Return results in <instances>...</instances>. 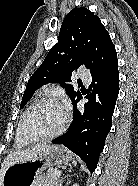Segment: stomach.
I'll use <instances>...</instances> for the list:
<instances>
[{"mask_svg": "<svg viewBox=\"0 0 138 186\" xmlns=\"http://www.w3.org/2000/svg\"><path fill=\"white\" fill-rule=\"evenodd\" d=\"M71 153L63 146L48 145L33 159L10 165L2 179L1 186H34L38 174L55 165L66 164Z\"/></svg>", "mask_w": 138, "mask_h": 186, "instance_id": "0dacf381", "label": "stomach"}]
</instances>
